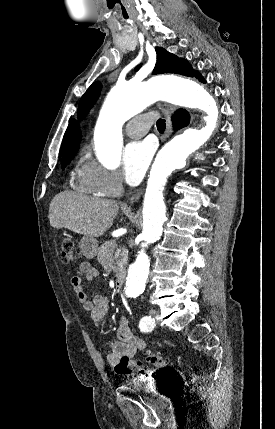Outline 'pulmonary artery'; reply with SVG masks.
I'll list each match as a JSON object with an SVG mask.
<instances>
[{
	"instance_id": "1",
	"label": "pulmonary artery",
	"mask_w": 275,
	"mask_h": 429,
	"mask_svg": "<svg viewBox=\"0 0 275 429\" xmlns=\"http://www.w3.org/2000/svg\"><path fill=\"white\" fill-rule=\"evenodd\" d=\"M151 115L143 114L132 119L126 126V134L131 138L144 136L150 128Z\"/></svg>"
}]
</instances>
